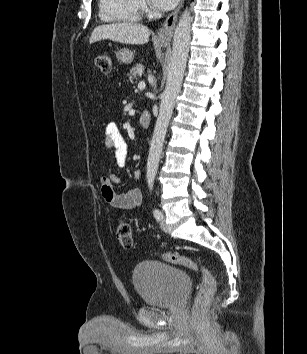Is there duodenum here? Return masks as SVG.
<instances>
[{
	"mask_svg": "<svg viewBox=\"0 0 307 354\" xmlns=\"http://www.w3.org/2000/svg\"><path fill=\"white\" fill-rule=\"evenodd\" d=\"M151 119H152L151 113L148 111H144L140 116L139 122L142 127L147 128L151 123Z\"/></svg>",
	"mask_w": 307,
	"mask_h": 354,
	"instance_id": "obj_1",
	"label": "duodenum"
}]
</instances>
